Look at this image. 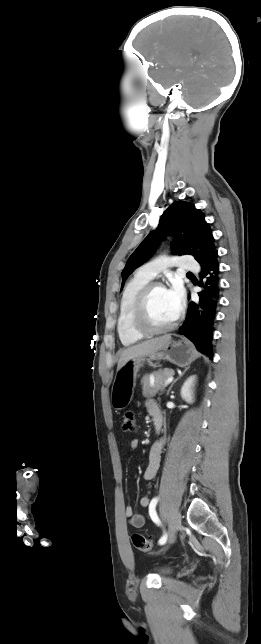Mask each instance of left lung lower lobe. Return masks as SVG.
I'll list each match as a JSON object with an SVG mask.
<instances>
[{"label":"left lung lower lobe","mask_w":261,"mask_h":644,"mask_svg":"<svg viewBox=\"0 0 261 644\" xmlns=\"http://www.w3.org/2000/svg\"><path fill=\"white\" fill-rule=\"evenodd\" d=\"M217 251L201 264L199 302H190L180 334L190 339L197 350L212 358V340L219 300Z\"/></svg>","instance_id":"obj_1"}]
</instances>
